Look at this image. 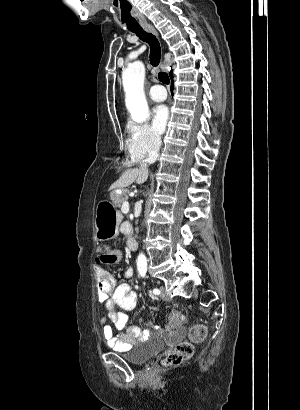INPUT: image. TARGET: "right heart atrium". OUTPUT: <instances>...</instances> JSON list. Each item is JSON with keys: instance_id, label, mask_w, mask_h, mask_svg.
Returning a JSON list of instances; mask_svg holds the SVG:
<instances>
[{"instance_id": "1", "label": "right heart atrium", "mask_w": 300, "mask_h": 410, "mask_svg": "<svg viewBox=\"0 0 300 410\" xmlns=\"http://www.w3.org/2000/svg\"><path fill=\"white\" fill-rule=\"evenodd\" d=\"M161 146V135L147 123L128 125L126 147L132 160H141L157 152Z\"/></svg>"}]
</instances>
